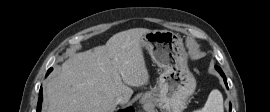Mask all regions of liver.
I'll return each instance as SVG.
<instances>
[{
  "label": "liver",
  "mask_w": 270,
  "mask_h": 112,
  "mask_svg": "<svg viewBox=\"0 0 270 112\" xmlns=\"http://www.w3.org/2000/svg\"><path fill=\"white\" fill-rule=\"evenodd\" d=\"M149 31H122L103 46L72 55L46 84L44 112H114L116 96L128 102L131 87L149 82L142 52V37Z\"/></svg>",
  "instance_id": "obj_1"
}]
</instances>
